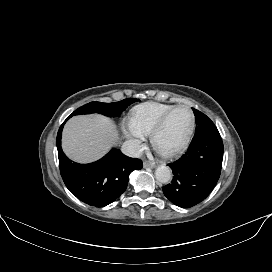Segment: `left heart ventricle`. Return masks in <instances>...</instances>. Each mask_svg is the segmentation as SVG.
Wrapping results in <instances>:
<instances>
[{"label":"left heart ventricle","mask_w":272,"mask_h":272,"mask_svg":"<svg viewBox=\"0 0 272 272\" xmlns=\"http://www.w3.org/2000/svg\"><path fill=\"white\" fill-rule=\"evenodd\" d=\"M190 124L191 116L187 110L175 111L156 137L155 148L158 151H169L178 147L187 136Z\"/></svg>","instance_id":"b2bd125f"}]
</instances>
